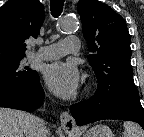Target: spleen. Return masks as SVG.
<instances>
[{
	"label": "spleen",
	"instance_id": "3e777b00",
	"mask_svg": "<svg viewBox=\"0 0 144 137\" xmlns=\"http://www.w3.org/2000/svg\"><path fill=\"white\" fill-rule=\"evenodd\" d=\"M124 132L122 137H144V131L134 122H124Z\"/></svg>",
	"mask_w": 144,
	"mask_h": 137
}]
</instances>
